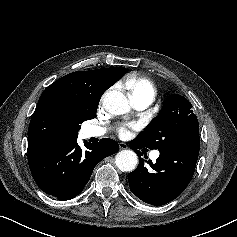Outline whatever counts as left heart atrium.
Returning <instances> with one entry per match:
<instances>
[{
	"label": "left heart atrium",
	"mask_w": 237,
	"mask_h": 237,
	"mask_svg": "<svg viewBox=\"0 0 237 237\" xmlns=\"http://www.w3.org/2000/svg\"><path fill=\"white\" fill-rule=\"evenodd\" d=\"M119 135L121 137H126L128 135V128L127 126H122L120 129H119Z\"/></svg>",
	"instance_id": "obj_1"
}]
</instances>
